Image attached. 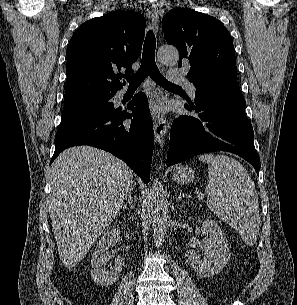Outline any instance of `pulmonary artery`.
I'll return each mask as SVG.
<instances>
[{"label": "pulmonary artery", "instance_id": "e3ab8cb5", "mask_svg": "<svg viewBox=\"0 0 297 305\" xmlns=\"http://www.w3.org/2000/svg\"><path fill=\"white\" fill-rule=\"evenodd\" d=\"M169 81L171 83L183 84L188 89L189 94L194 97L196 95V87L193 83L187 81L180 70H171L169 72Z\"/></svg>", "mask_w": 297, "mask_h": 305}]
</instances>
